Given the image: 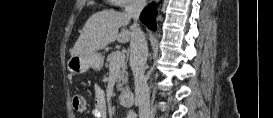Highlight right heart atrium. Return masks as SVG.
Wrapping results in <instances>:
<instances>
[{
  "label": "right heart atrium",
  "instance_id": "obj_1",
  "mask_svg": "<svg viewBox=\"0 0 273 118\" xmlns=\"http://www.w3.org/2000/svg\"><path fill=\"white\" fill-rule=\"evenodd\" d=\"M115 3L121 8H128L133 5V0H115Z\"/></svg>",
  "mask_w": 273,
  "mask_h": 118
}]
</instances>
